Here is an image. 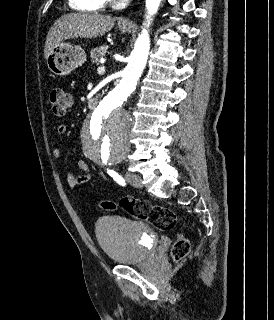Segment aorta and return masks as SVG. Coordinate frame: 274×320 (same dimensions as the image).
Instances as JSON below:
<instances>
[{"label":"aorta","mask_w":274,"mask_h":320,"mask_svg":"<svg viewBox=\"0 0 274 320\" xmlns=\"http://www.w3.org/2000/svg\"><path fill=\"white\" fill-rule=\"evenodd\" d=\"M160 2L161 0H146L147 27L150 25V16L157 12ZM149 50L150 37L148 31L143 29L135 42L122 79L85 122L81 143L85 156L93 162H117L128 154L131 116L124 109V105L136 88L146 66Z\"/></svg>","instance_id":"aorta-1"}]
</instances>
